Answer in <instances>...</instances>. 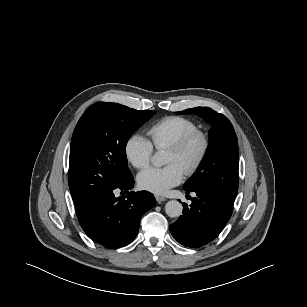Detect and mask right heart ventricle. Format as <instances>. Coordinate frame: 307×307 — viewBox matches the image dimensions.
I'll list each match as a JSON object with an SVG mask.
<instances>
[{"instance_id": "obj_1", "label": "right heart ventricle", "mask_w": 307, "mask_h": 307, "mask_svg": "<svg viewBox=\"0 0 307 307\" xmlns=\"http://www.w3.org/2000/svg\"><path fill=\"white\" fill-rule=\"evenodd\" d=\"M195 129L197 124L189 118L168 116L153 124L148 130V135L152 145L157 150H163Z\"/></svg>"}]
</instances>
